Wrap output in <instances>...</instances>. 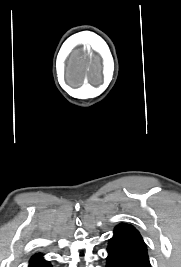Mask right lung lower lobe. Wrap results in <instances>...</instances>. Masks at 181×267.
Returning <instances> with one entry per match:
<instances>
[{
    "label": "right lung lower lobe",
    "instance_id": "obj_1",
    "mask_svg": "<svg viewBox=\"0 0 181 267\" xmlns=\"http://www.w3.org/2000/svg\"><path fill=\"white\" fill-rule=\"evenodd\" d=\"M29 267H51V264L42 259V254H36L31 258Z\"/></svg>",
    "mask_w": 181,
    "mask_h": 267
}]
</instances>
